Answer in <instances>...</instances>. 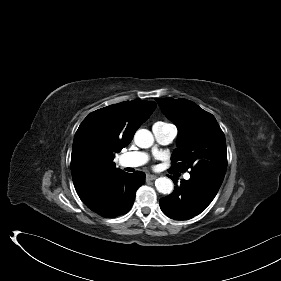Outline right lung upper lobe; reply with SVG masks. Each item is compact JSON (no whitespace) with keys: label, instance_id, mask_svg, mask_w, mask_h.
<instances>
[{"label":"right lung upper lobe","instance_id":"right-lung-upper-lobe-1","mask_svg":"<svg viewBox=\"0 0 281 281\" xmlns=\"http://www.w3.org/2000/svg\"><path fill=\"white\" fill-rule=\"evenodd\" d=\"M156 108L153 101H127L90 113L73 141L71 173L77 194L118 170L115 153L127 146Z\"/></svg>","mask_w":281,"mask_h":281}]
</instances>
